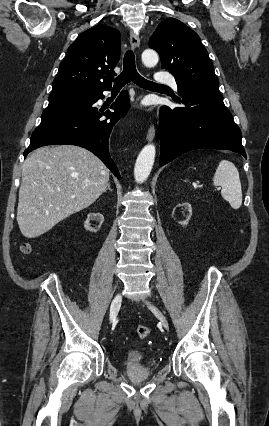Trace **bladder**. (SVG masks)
<instances>
[{"instance_id":"31cf9c89","label":"bladder","mask_w":269,"mask_h":426,"mask_svg":"<svg viewBox=\"0 0 269 426\" xmlns=\"http://www.w3.org/2000/svg\"><path fill=\"white\" fill-rule=\"evenodd\" d=\"M124 363L128 367L140 366L144 363V356L137 351H131L126 355Z\"/></svg>"}]
</instances>
